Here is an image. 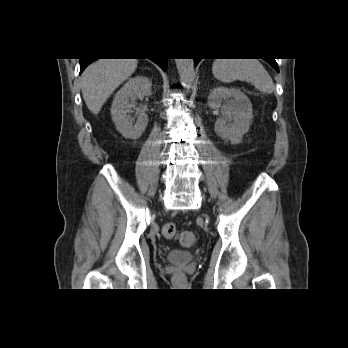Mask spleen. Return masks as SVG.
Returning a JSON list of instances; mask_svg holds the SVG:
<instances>
[{"mask_svg":"<svg viewBox=\"0 0 348 348\" xmlns=\"http://www.w3.org/2000/svg\"><path fill=\"white\" fill-rule=\"evenodd\" d=\"M212 72L223 83L251 82L263 94H271L275 89L271 76L257 59H216Z\"/></svg>","mask_w":348,"mask_h":348,"instance_id":"obj_1","label":"spleen"}]
</instances>
